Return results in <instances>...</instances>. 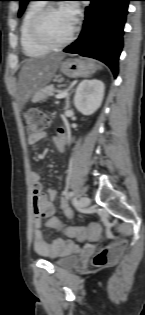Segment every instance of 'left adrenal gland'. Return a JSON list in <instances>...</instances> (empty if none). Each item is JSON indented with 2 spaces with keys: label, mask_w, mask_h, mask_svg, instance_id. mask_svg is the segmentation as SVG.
<instances>
[{
  "label": "left adrenal gland",
  "mask_w": 145,
  "mask_h": 315,
  "mask_svg": "<svg viewBox=\"0 0 145 315\" xmlns=\"http://www.w3.org/2000/svg\"><path fill=\"white\" fill-rule=\"evenodd\" d=\"M74 91V89H72L71 91H70V93L68 94V96L66 97V106H65V109H68L69 107H70V96H71V94H72V92Z\"/></svg>",
  "instance_id": "obj_1"
}]
</instances>
